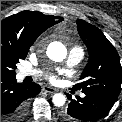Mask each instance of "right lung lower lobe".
Masks as SVG:
<instances>
[{
	"label": "right lung lower lobe",
	"instance_id": "right-lung-lower-lobe-1",
	"mask_svg": "<svg viewBox=\"0 0 122 122\" xmlns=\"http://www.w3.org/2000/svg\"><path fill=\"white\" fill-rule=\"evenodd\" d=\"M40 91L36 83H17L15 76L1 74V122H21L26 114L27 99Z\"/></svg>",
	"mask_w": 122,
	"mask_h": 122
}]
</instances>
